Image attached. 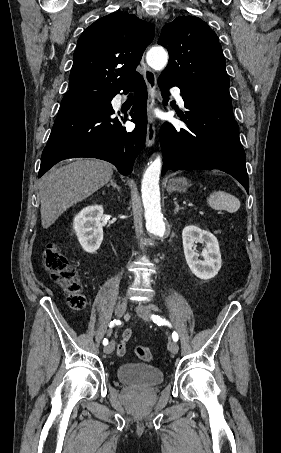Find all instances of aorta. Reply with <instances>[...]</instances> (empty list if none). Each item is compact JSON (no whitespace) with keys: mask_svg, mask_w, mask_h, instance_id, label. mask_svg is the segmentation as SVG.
Wrapping results in <instances>:
<instances>
[{"mask_svg":"<svg viewBox=\"0 0 281 453\" xmlns=\"http://www.w3.org/2000/svg\"><path fill=\"white\" fill-rule=\"evenodd\" d=\"M147 64L155 71H162L168 62V53L162 47H152L146 55ZM161 157L157 156L150 162L144 172L141 193L145 210L146 228L153 235L163 237L166 225L161 213L159 177L161 173Z\"/></svg>","mask_w":281,"mask_h":453,"instance_id":"762f6f07","label":"aorta"}]
</instances>
